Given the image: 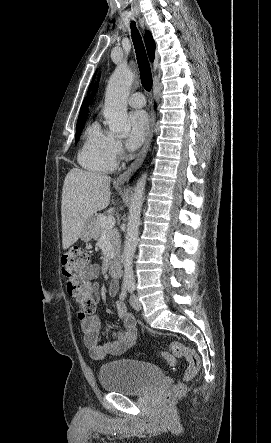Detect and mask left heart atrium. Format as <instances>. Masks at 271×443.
Returning a JSON list of instances; mask_svg holds the SVG:
<instances>
[{"mask_svg":"<svg viewBox=\"0 0 271 443\" xmlns=\"http://www.w3.org/2000/svg\"><path fill=\"white\" fill-rule=\"evenodd\" d=\"M128 120L131 132L127 145L130 149H135L143 144L149 133V117L144 110H135L129 114Z\"/></svg>","mask_w":271,"mask_h":443,"instance_id":"39dd6f15","label":"left heart atrium"}]
</instances>
